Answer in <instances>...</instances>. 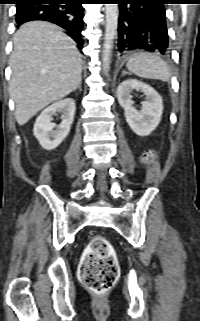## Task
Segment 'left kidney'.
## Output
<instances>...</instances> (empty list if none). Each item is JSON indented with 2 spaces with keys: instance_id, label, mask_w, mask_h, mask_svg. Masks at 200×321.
<instances>
[{
  "instance_id": "obj_1",
  "label": "left kidney",
  "mask_w": 200,
  "mask_h": 321,
  "mask_svg": "<svg viewBox=\"0 0 200 321\" xmlns=\"http://www.w3.org/2000/svg\"><path fill=\"white\" fill-rule=\"evenodd\" d=\"M133 90L141 91L146 96L140 111L133 107ZM117 98L128 125L137 135L148 136L159 125L163 113L162 98L150 85L136 79L125 80L118 86Z\"/></svg>"
}]
</instances>
